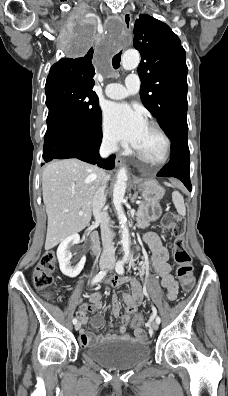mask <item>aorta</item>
I'll return each mask as SVG.
<instances>
[{
  "mask_svg": "<svg viewBox=\"0 0 228 396\" xmlns=\"http://www.w3.org/2000/svg\"><path fill=\"white\" fill-rule=\"evenodd\" d=\"M140 62V55L135 50H127L122 56V67L125 70H132L138 67ZM127 169L126 167H121L117 174V179L113 187V204L117 211L119 223L122 228L121 244L124 250L129 249V229L127 226V218L124 213L122 202L124 200V195L127 186Z\"/></svg>",
  "mask_w": 228,
  "mask_h": 396,
  "instance_id": "1",
  "label": "aorta"
}]
</instances>
